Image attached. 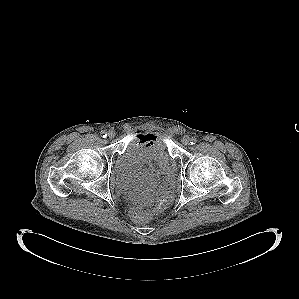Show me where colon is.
Listing matches in <instances>:
<instances>
[{
    "mask_svg": "<svg viewBox=\"0 0 299 299\" xmlns=\"http://www.w3.org/2000/svg\"><path fill=\"white\" fill-rule=\"evenodd\" d=\"M168 201V199L161 201V203L157 207H155L152 213H161L165 209V206L167 205ZM129 213L134 219H142L148 215V211L146 209L135 210L134 208H129Z\"/></svg>",
    "mask_w": 299,
    "mask_h": 299,
    "instance_id": "obj_1",
    "label": "colon"
}]
</instances>
